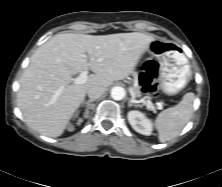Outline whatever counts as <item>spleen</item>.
I'll use <instances>...</instances> for the list:
<instances>
[{
    "label": "spleen",
    "instance_id": "obj_1",
    "mask_svg": "<svg viewBox=\"0 0 222 187\" xmlns=\"http://www.w3.org/2000/svg\"><path fill=\"white\" fill-rule=\"evenodd\" d=\"M194 100V93H186L179 104L163 110L157 116L155 126L159 134L160 142L170 141L179 135L191 118Z\"/></svg>",
    "mask_w": 222,
    "mask_h": 187
}]
</instances>
